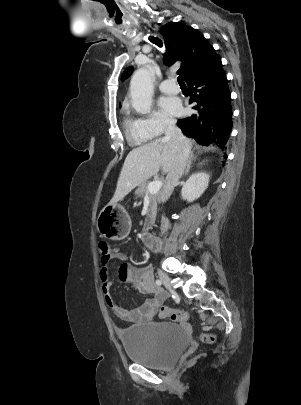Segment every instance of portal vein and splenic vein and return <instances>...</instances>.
<instances>
[{"instance_id": "18ae733b", "label": "portal vein and splenic vein", "mask_w": 301, "mask_h": 405, "mask_svg": "<svg viewBox=\"0 0 301 405\" xmlns=\"http://www.w3.org/2000/svg\"><path fill=\"white\" fill-rule=\"evenodd\" d=\"M162 187V182L157 180V181H153L151 183H149L148 187H147V193L148 194H156L159 192V190Z\"/></svg>"}]
</instances>
